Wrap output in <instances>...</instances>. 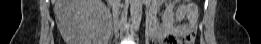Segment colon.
<instances>
[{
	"instance_id": "colon-1",
	"label": "colon",
	"mask_w": 261,
	"mask_h": 44,
	"mask_svg": "<svg viewBox=\"0 0 261 44\" xmlns=\"http://www.w3.org/2000/svg\"><path fill=\"white\" fill-rule=\"evenodd\" d=\"M183 5H184V6H191V5H192V2H191V1H184V2H183Z\"/></svg>"
}]
</instances>
